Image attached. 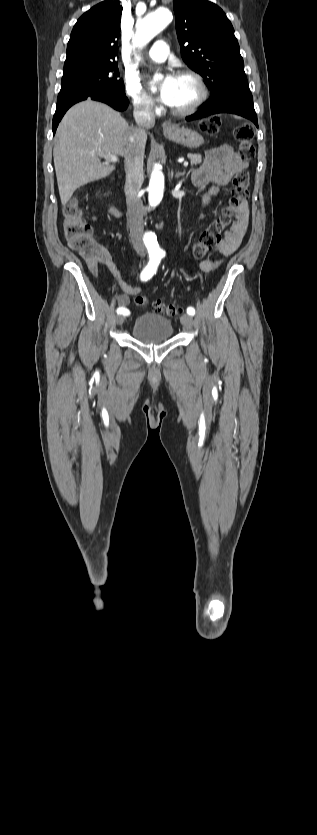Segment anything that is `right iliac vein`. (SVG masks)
<instances>
[{"mask_svg": "<svg viewBox=\"0 0 317 835\" xmlns=\"http://www.w3.org/2000/svg\"><path fill=\"white\" fill-rule=\"evenodd\" d=\"M124 320H125L124 315H121V314L119 315V314H118V315L116 316V323H117L118 325H121V324L124 322Z\"/></svg>", "mask_w": 317, "mask_h": 835, "instance_id": "obj_1", "label": "right iliac vein"}]
</instances>
